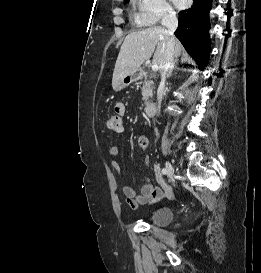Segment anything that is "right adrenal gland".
Masks as SVG:
<instances>
[{
  "label": "right adrenal gland",
  "mask_w": 261,
  "mask_h": 273,
  "mask_svg": "<svg viewBox=\"0 0 261 273\" xmlns=\"http://www.w3.org/2000/svg\"><path fill=\"white\" fill-rule=\"evenodd\" d=\"M178 60L176 59L175 60V63L177 62ZM172 71H173V69L172 70H170L169 72H168V75H167V77H170L171 76V74H172Z\"/></svg>",
  "instance_id": "right-adrenal-gland-1"
}]
</instances>
